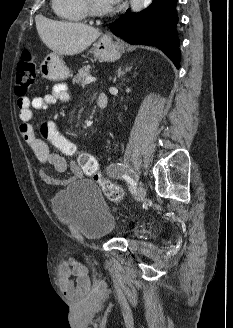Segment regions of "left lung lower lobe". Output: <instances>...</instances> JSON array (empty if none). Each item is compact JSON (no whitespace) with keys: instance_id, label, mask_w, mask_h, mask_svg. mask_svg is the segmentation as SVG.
I'll use <instances>...</instances> for the list:
<instances>
[{"instance_id":"0a47b994","label":"left lung lower lobe","mask_w":233,"mask_h":328,"mask_svg":"<svg viewBox=\"0 0 233 328\" xmlns=\"http://www.w3.org/2000/svg\"><path fill=\"white\" fill-rule=\"evenodd\" d=\"M176 4L177 0H154L151 6L140 13L127 11L110 25V30L129 43L159 48L179 68Z\"/></svg>"}]
</instances>
